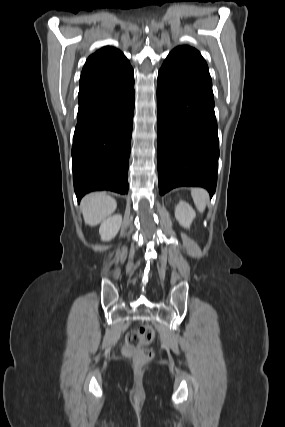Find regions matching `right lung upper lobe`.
<instances>
[{"instance_id":"1","label":"right lung upper lobe","mask_w":285,"mask_h":427,"mask_svg":"<svg viewBox=\"0 0 285 427\" xmlns=\"http://www.w3.org/2000/svg\"><path fill=\"white\" fill-rule=\"evenodd\" d=\"M131 68L123 53L111 46H105L93 53L86 61L79 91L113 79Z\"/></svg>"}]
</instances>
